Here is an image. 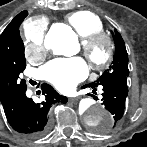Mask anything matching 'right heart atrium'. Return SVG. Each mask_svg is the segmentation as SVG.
<instances>
[{
    "label": "right heart atrium",
    "instance_id": "right-heart-atrium-1",
    "mask_svg": "<svg viewBox=\"0 0 147 147\" xmlns=\"http://www.w3.org/2000/svg\"><path fill=\"white\" fill-rule=\"evenodd\" d=\"M45 18H34L25 25V55L32 61L41 60L46 53L44 38L47 30Z\"/></svg>",
    "mask_w": 147,
    "mask_h": 147
}]
</instances>
